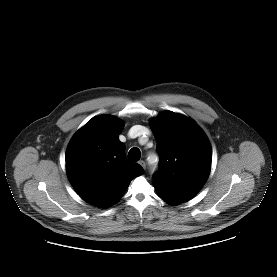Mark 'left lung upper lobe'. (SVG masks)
Returning <instances> with one entry per match:
<instances>
[{"mask_svg":"<svg viewBox=\"0 0 277 277\" xmlns=\"http://www.w3.org/2000/svg\"><path fill=\"white\" fill-rule=\"evenodd\" d=\"M160 155L154 187L185 197L195 196L206 182L212 160L210 143L186 116L165 111L152 122Z\"/></svg>","mask_w":277,"mask_h":277,"instance_id":"5c2ea615","label":"left lung upper lobe"}]
</instances>
